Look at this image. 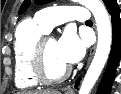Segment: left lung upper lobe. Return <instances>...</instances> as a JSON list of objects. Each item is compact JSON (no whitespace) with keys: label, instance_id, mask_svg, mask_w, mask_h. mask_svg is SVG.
I'll return each mask as SVG.
<instances>
[{"label":"left lung upper lobe","instance_id":"5c2ea615","mask_svg":"<svg viewBox=\"0 0 121 94\" xmlns=\"http://www.w3.org/2000/svg\"><path fill=\"white\" fill-rule=\"evenodd\" d=\"M51 1H53V0H35V3L38 4V5H41V4L51 2ZM103 2H104L107 9H109L111 6H113L115 3H117L116 0H103ZM30 3H31V0H25L22 3L18 13L22 14L23 12H25L26 9L28 8V6L30 5Z\"/></svg>","mask_w":121,"mask_h":94}]
</instances>
